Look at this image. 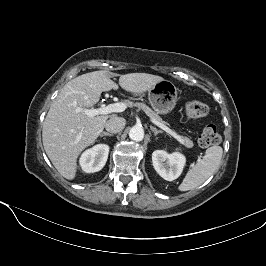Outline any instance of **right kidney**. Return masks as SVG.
Instances as JSON below:
<instances>
[{"label":"right kidney","mask_w":266,"mask_h":266,"mask_svg":"<svg viewBox=\"0 0 266 266\" xmlns=\"http://www.w3.org/2000/svg\"><path fill=\"white\" fill-rule=\"evenodd\" d=\"M109 153V146L98 144L86 150L80 158V166L86 173L100 171L106 164Z\"/></svg>","instance_id":"right-kidney-1"}]
</instances>
